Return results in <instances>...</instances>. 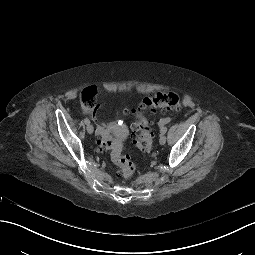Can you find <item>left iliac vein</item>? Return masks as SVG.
Returning <instances> with one entry per match:
<instances>
[{"label": "left iliac vein", "instance_id": "obj_1", "mask_svg": "<svg viewBox=\"0 0 255 255\" xmlns=\"http://www.w3.org/2000/svg\"><path fill=\"white\" fill-rule=\"evenodd\" d=\"M159 143L161 145H164L166 143V136L164 134L160 136Z\"/></svg>", "mask_w": 255, "mask_h": 255}]
</instances>
